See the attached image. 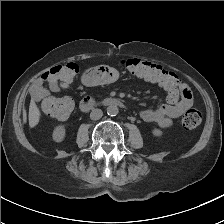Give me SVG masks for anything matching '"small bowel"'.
I'll return each instance as SVG.
<instances>
[{
  "mask_svg": "<svg viewBox=\"0 0 224 224\" xmlns=\"http://www.w3.org/2000/svg\"><path fill=\"white\" fill-rule=\"evenodd\" d=\"M118 72L108 65H98L88 69L82 76V83L86 86L106 84L115 81ZM70 83L63 82L53 73L52 68L40 75L32 84L30 93L32 98L40 100L48 97L50 93H60L69 87ZM167 93V103L154 109L140 111V117L146 121L155 123L159 127H169L173 121L179 118L186 109L193 104L190 89L179 79L166 86H161Z\"/></svg>",
  "mask_w": 224,
  "mask_h": 224,
  "instance_id": "obj_1",
  "label": "small bowel"
}]
</instances>
